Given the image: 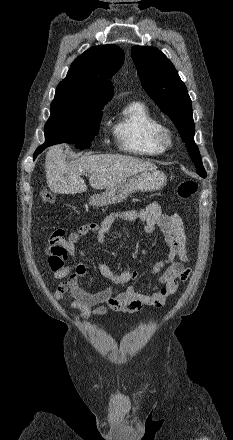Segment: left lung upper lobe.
<instances>
[{
	"label": "left lung upper lobe",
	"mask_w": 233,
	"mask_h": 440,
	"mask_svg": "<svg viewBox=\"0 0 233 440\" xmlns=\"http://www.w3.org/2000/svg\"><path fill=\"white\" fill-rule=\"evenodd\" d=\"M131 54L143 88L177 127L197 172L204 170L194 142L191 99L175 67L157 48L133 46Z\"/></svg>",
	"instance_id": "obj_1"
}]
</instances>
